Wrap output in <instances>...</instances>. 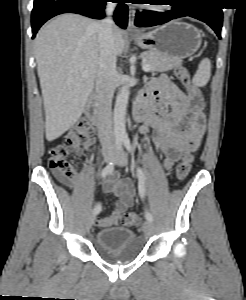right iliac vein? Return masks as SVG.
Wrapping results in <instances>:
<instances>
[{
  "label": "right iliac vein",
  "mask_w": 246,
  "mask_h": 300,
  "mask_svg": "<svg viewBox=\"0 0 246 300\" xmlns=\"http://www.w3.org/2000/svg\"><path fill=\"white\" fill-rule=\"evenodd\" d=\"M114 157V153L113 152H105L104 155H103V158H104V161L105 162H110ZM94 219H95V215L94 214H91L89 217H88V226L91 227L93 222H94Z\"/></svg>",
  "instance_id": "63e3f726"
}]
</instances>
